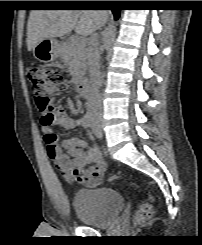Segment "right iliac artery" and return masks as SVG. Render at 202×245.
Segmentation results:
<instances>
[{"label": "right iliac artery", "instance_id": "obj_1", "mask_svg": "<svg viewBox=\"0 0 202 245\" xmlns=\"http://www.w3.org/2000/svg\"><path fill=\"white\" fill-rule=\"evenodd\" d=\"M92 121V115L90 112H87L82 118H81V122L83 127L87 128L90 126Z\"/></svg>", "mask_w": 202, "mask_h": 245}]
</instances>
